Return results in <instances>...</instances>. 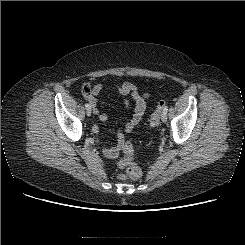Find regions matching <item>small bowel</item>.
Returning a JSON list of instances; mask_svg holds the SVG:
<instances>
[{
    "label": "small bowel",
    "instance_id": "c3829d8e",
    "mask_svg": "<svg viewBox=\"0 0 245 245\" xmlns=\"http://www.w3.org/2000/svg\"><path fill=\"white\" fill-rule=\"evenodd\" d=\"M118 92L121 95L131 94L133 99L135 100V108L132 117L129 121H127L123 127L124 133L131 132L135 126H137L142 120L144 113L147 107L148 93L139 92L138 88L132 83H124L122 85H116ZM104 89L103 84H97L92 87L90 94L87 96V100L91 107L94 110V113L98 115V118L101 121H105L107 119V115L103 112H100L96 108V96L101 93ZM123 104L125 108L129 107L128 100L124 99ZM123 132L118 133V145L114 147H105L102 149V153L105 157L113 159L116 158L119 154V149L124 141ZM96 135L98 134V130L95 129ZM98 140V139H97Z\"/></svg>",
    "mask_w": 245,
    "mask_h": 245
}]
</instances>
